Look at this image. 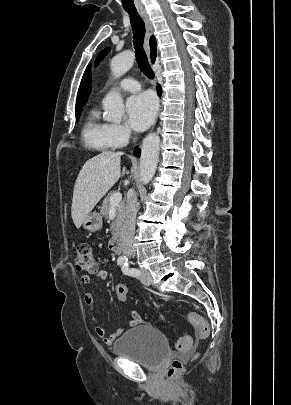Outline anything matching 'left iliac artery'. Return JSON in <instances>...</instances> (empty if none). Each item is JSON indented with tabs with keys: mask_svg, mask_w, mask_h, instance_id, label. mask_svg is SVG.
<instances>
[{
	"mask_svg": "<svg viewBox=\"0 0 291 405\" xmlns=\"http://www.w3.org/2000/svg\"><path fill=\"white\" fill-rule=\"evenodd\" d=\"M122 272L128 276L137 277L140 274V271L136 268H130L129 264L126 262L121 265Z\"/></svg>",
	"mask_w": 291,
	"mask_h": 405,
	"instance_id": "44dca946",
	"label": "left iliac artery"
}]
</instances>
